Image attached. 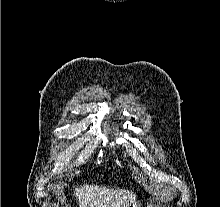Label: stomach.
I'll return each instance as SVG.
<instances>
[{
	"label": "stomach",
	"mask_w": 220,
	"mask_h": 207,
	"mask_svg": "<svg viewBox=\"0 0 220 207\" xmlns=\"http://www.w3.org/2000/svg\"><path fill=\"white\" fill-rule=\"evenodd\" d=\"M128 207H140V202L134 201V202L130 203Z\"/></svg>",
	"instance_id": "0dacf381"
}]
</instances>
